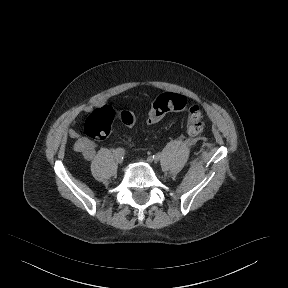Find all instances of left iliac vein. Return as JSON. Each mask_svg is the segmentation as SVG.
<instances>
[{"mask_svg": "<svg viewBox=\"0 0 288 288\" xmlns=\"http://www.w3.org/2000/svg\"><path fill=\"white\" fill-rule=\"evenodd\" d=\"M145 162L151 163V162H152V159H151V158H147V160H146Z\"/></svg>", "mask_w": 288, "mask_h": 288, "instance_id": "4c4485c4", "label": "left iliac vein"}]
</instances>
